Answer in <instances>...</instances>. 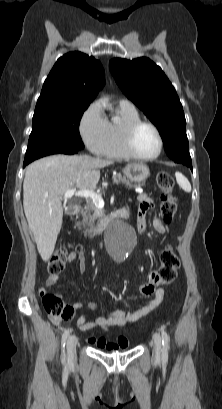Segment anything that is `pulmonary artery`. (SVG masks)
I'll use <instances>...</instances> for the list:
<instances>
[{"mask_svg":"<svg viewBox=\"0 0 222 409\" xmlns=\"http://www.w3.org/2000/svg\"><path fill=\"white\" fill-rule=\"evenodd\" d=\"M120 103H121V104H126V105H132V106H133V104H132L130 101H128V100H120Z\"/></svg>","mask_w":222,"mask_h":409,"instance_id":"1","label":"pulmonary artery"}]
</instances>
